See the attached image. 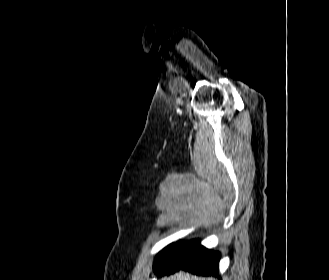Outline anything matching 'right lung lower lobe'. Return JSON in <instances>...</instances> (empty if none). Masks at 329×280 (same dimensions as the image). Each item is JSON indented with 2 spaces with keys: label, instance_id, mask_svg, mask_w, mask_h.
Returning a JSON list of instances; mask_svg holds the SVG:
<instances>
[{
  "label": "right lung lower lobe",
  "instance_id": "right-lung-lower-lobe-1",
  "mask_svg": "<svg viewBox=\"0 0 329 280\" xmlns=\"http://www.w3.org/2000/svg\"><path fill=\"white\" fill-rule=\"evenodd\" d=\"M220 254L212 252L202 245L199 240L178 242L172 244L153 270L158 275L174 274L185 270L197 275H219L218 263Z\"/></svg>",
  "mask_w": 329,
  "mask_h": 280
}]
</instances>
